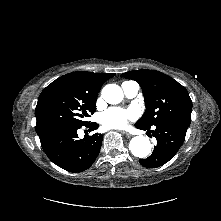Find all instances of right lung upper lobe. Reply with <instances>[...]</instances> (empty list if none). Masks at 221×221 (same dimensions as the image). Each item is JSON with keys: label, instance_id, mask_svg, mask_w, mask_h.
<instances>
[{"label": "right lung upper lobe", "instance_id": "right-lung-upper-lobe-1", "mask_svg": "<svg viewBox=\"0 0 221 221\" xmlns=\"http://www.w3.org/2000/svg\"><path fill=\"white\" fill-rule=\"evenodd\" d=\"M115 74H103L93 72H72L59 77V80H67L90 97L97 98L101 86Z\"/></svg>", "mask_w": 221, "mask_h": 221}]
</instances>
